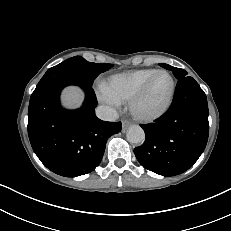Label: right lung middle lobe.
I'll return each instance as SVG.
<instances>
[{
    "instance_id": "right-lung-middle-lobe-1",
    "label": "right lung middle lobe",
    "mask_w": 231,
    "mask_h": 231,
    "mask_svg": "<svg viewBox=\"0 0 231 231\" xmlns=\"http://www.w3.org/2000/svg\"><path fill=\"white\" fill-rule=\"evenodd\" d=\"M111 67H113L112 64L92 63L81 56H75L48 69L34 91H39L49 84L62 79H71L81 84L92 86L94 79Z\"/></svg>"
}]
</instances>
